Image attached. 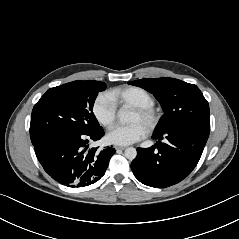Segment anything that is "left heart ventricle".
I'll use <instances>...</instances> for the list:
<instances>
[{
    "mask_svg": "<svg viewBox=\"0 0 239 239\" xmlns=\"http://www.w3.org/2000/svg\"><path fill=\"white\" fill-rule=\"evenodd\" d=\"M131 123H140L144 125L145 127L147 126V120L145 117H143L141 114L137 113L136 111H133L131 118H130Z\"/></svg>",
    "mask_w": 239,
    "mask_h": 239,
    "instance_id": "b2bd125f",
    "label": "left heart ventricle"
}]
</instances>
